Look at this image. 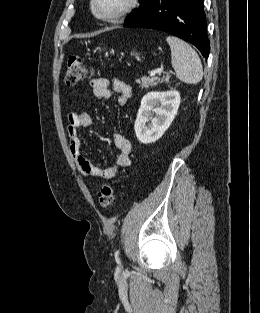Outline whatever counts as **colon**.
Segmentation results:
<instances>
[{
  "label": "colon",
  "mask_w": 260,
  "mask_h": 313,
  "mask_svg": "<svg viewBox=\"0 0 260 313\" xmlns=\"http://www.w3.org/2000/svg\"><path fill=\"white\" fill-rule=\"evenodd\" d=\"M91 69L79 56H71L68 59L65 73V83L68 86H74L82 82L90 73ZM99 204L103 208H109L114 201V191L109 185L102 187L99 196Z\"/></svg>",
  "instance_id": "obj_1"
}]
</instances>
